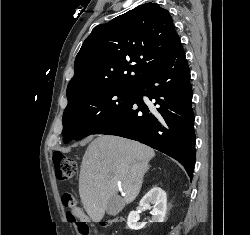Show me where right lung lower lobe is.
I'll use <instances>...</instances> for the list:
<instances>
[{
	"label": "right lung lower lobe",
	"mask_w": 250,
	"mask_h": 235,
	"mask_svg": "<svg viewBox=\"0 0 250 235\" xmlns=\"http://www.w3.org/2000/svg\"><path fill=\"white\" fill-rule=\"evenodd\" d=\"M143 95L156 107H148ZM191 101L190 70L178 41L166 63L147 75L127 105L93 134L144 143L179 161L192 179L196 136Z\"/></svg>",
	"instance_id": "98d812e1"
}]
</instances>
